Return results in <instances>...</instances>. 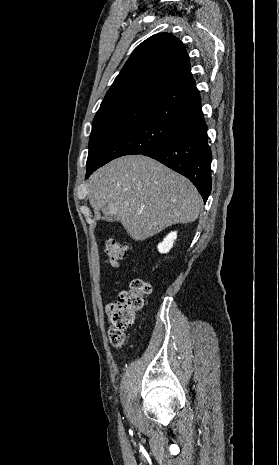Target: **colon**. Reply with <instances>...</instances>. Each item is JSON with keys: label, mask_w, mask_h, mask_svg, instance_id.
<instances>
[{"label": "colon", "mask_w": 279, "mask_h": 465, "mask_svg": "<svg viewBox=\"0 0 279 465\" xmlns=\"http://www.w3.org/2000/svg\"><path fill=\"white\" fill-rule=\"evenodd\" d=\"M105 253L107 263L116 267L126 257L127 247L115 239H109L106 242ZM150 291L151 287L147 282L134 279L129 288L120 292L117 300L107 306L108 335L113 347L122 348L125 345L126 333L134 325L137 312L142 309L144 298Z\"/></svg>", "instance_id": "obj_1"}]
</instances>
